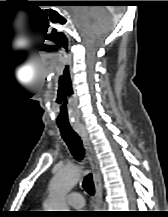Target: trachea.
<instances>
[{"label": "trachea", "mask_w": 168, "mask_h": 217, "mask_svg": "<svg viewBox=\"0 0 168 217\" xmlns=\"http://www.w3.org/2000/svg\"><path fill=\"white\" fill-rule=\"evenodd\" d=\"M59 129L61 132V136L69 147L72 155L76 159L81 160L84 157V149L82 141L78 134L72 129V127H59ZM82 186L88 194L94 195L95 187L91 174H88L84 178Z\"/></svg>", "instance_id": "trachea-1"}]
</instances>
